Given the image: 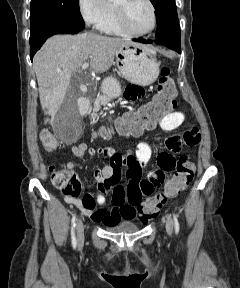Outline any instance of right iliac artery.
I'll list each match as a JSON object with an SVG mask.
<instances>
[{"label": "right iliac artery", "mask_w": 240, "mask_h": 288, "mask_svg": "<svg viewBox=\"0 0 240 288\" xmlns=\"http://www.w3.org/2000/svg\"><path fill=\"white\" fill-rule=\"evenodd\" d=\"M75 221H76V215H73L72 217V224H71V241H72V246L75 249L77 246V240L75 236Z\"/></svg>", "instance_id": "1"}]
</instances>
